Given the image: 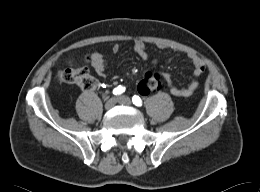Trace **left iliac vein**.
I'll list each match as a JSON object with an SVG mask.
<instances>
[{
	"label": "left iliac vein",
	"mask_w": 260,
	"mask_h": 192,
	"mask_svg": "<svg viewBox=\"0 0 260 192\" xmlns=\"http://www.w3.org/2000/svg\"><path fill=\"white\" fill-rule=\"evenodd\" d=\"M117 100L122 105H127V106L131 105V100L127 96H120V97H118Z\"/></svg>",
	"instance_id": "1"
}]
</instances>
